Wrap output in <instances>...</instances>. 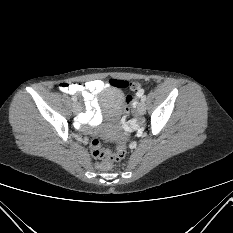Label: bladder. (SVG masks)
<instances>
[{"mask_svg":"<svg viewBox=\"0 0 233 233\" xmlns=\"http://www.w3.org/2000/svg\"><path fill=\"white\" fill-rule=\"evenodd\" d=\"M100 100L105 110L113 118H117L119 116L124 101V94L120 88H107L105 91H103ZM104 137H106L107 139H113L114 134L112 132H107L104 134Z\"/></svg>","mask_w":233,"mask_h":233,"instance_id":"bladder-1","label":"bladder"}]
</instances>
